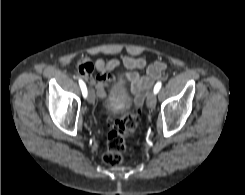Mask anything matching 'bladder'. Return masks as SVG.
<instances>
[{
    "label": "bladder",
    "mask_w": 245,
    "mask_h": 195,
    "mask_svg": "<svg viewBox=\"0 0 245 195\" xmlns=\"http://www.w3.org/2000/svg\"><path fill=\"white\" fill-rule=\"evenodd\" d=\"M108 106L109 108L116 111L124 109L125 103L121 93H118L116 91L112 92L108 100Z\"/></svg>",
    "instance_id": "1"
}]
</instances>
